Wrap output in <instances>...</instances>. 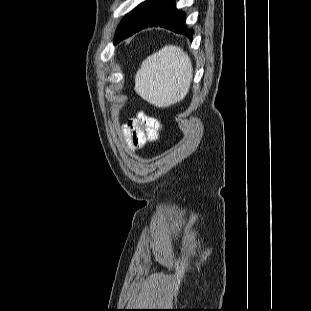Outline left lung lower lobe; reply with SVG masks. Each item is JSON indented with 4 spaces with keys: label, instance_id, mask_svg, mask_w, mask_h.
Wrapping results in <instances>:
<instances>
[{
    "label": "left lung lower lobe",
    "instance_id": "1",
    "mask_svg": "<svg viewBox=\"0 0 311 311\" xmlns=\"http://www.w3.org/2000/svg\"><path fill=\"white\" fill-rule=\"evenodd\" d=\"M186 15L176 9L174 0H149L140 4L119 24L114 43L147 27H163L178 34L193 37V30L185 26Z\"/></svg>",
    "mask_w": 311,
    "mask_h": 311
}]
</instances>
